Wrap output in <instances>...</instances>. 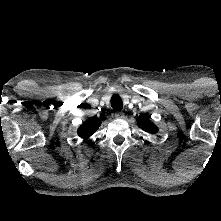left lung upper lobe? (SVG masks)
Listing matches in <instances>:
<instances>
[{"mask_svg":"<svg viewBox=\"0 0 221 221\" xmlns=\"http://www.w3.org/2000/svg\"><path fill=\"white\" fill-rule=\"evenodd\" d=\"M137 122L138 126L148 133L154 134L158 131V128L152 122H150L147 116L139 117Z\"/></svg>","mask_w":221,"mask_h":221,"instance_id":"obj_1","label":"left lung upper lobe"}]
</instances>
